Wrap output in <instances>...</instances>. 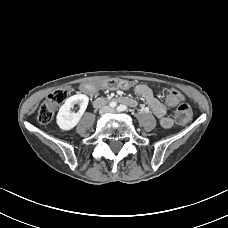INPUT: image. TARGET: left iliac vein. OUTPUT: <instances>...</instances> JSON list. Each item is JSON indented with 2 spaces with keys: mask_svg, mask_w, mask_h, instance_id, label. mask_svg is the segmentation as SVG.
Masks as SVG:
<instances>
[{
  "mask_svg": "<svg viewBox=\"0 0 228 228\" xmlns=\"http://www.w3.org/2000/svg\"><path fill=\"white\" fill-rule=\"evenodd\" d=\"M110 112H111V113H114V112H115V110H114V109H110Z\"/></svg>",
  "mask_w": 228,
  "mask_h": 228,
  "instance_id": "4c4485c4",
  "label": "left iliac vein"
}]
</instances>
